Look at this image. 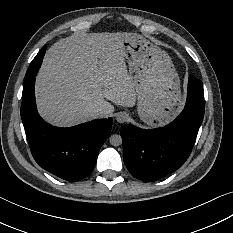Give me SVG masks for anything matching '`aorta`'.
<instances>
[{"mask_svg":"<svg viewBox=\"0 0 233 233\" xmlns=\"http://www.w3.org/2000/svg\"><path fill=\"white\" fill-rule=\"evenodd\" d=\"M109 142L112 146H119L122 144V138L118 134H113L112 136H110Z\"/></svg>","mask_w":233,"mask_h":233,"instance_id":"obj_1","label":"aorta"}]
</instances>
